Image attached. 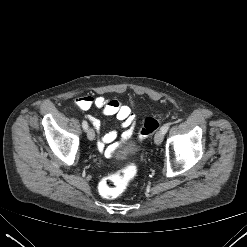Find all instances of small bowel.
Here are the masks:
<instances>
[{"mask_svg": "<svg viewBox=\"0 0 247 247\" xmlns=\"http://www.w3.org/2000/svg\"><path fill=\"white\" fill-rule=\"evenodd\" d=\"M74 106L82 111H87L94 107L104 116H115L119 121L122 122L123 127L130 126L134 121V116L128 106L121 104L116 99H109L102 95L93 96L85 95L74 100ZM88 121L93 125L95 130L99 131L101 128V121L93 116L87 115ZM131 134L130 130L124 132L122 138L127 139ZM117 137V130H111L110 132L100 136L98 141V149L105 155L110 156L116 145L106 147L107 144L113 142Z\"/></svg>", "mask_w": 247, "mask_h": 247, "instance_id": "1", "label": "small bowel"}]
</instances>
